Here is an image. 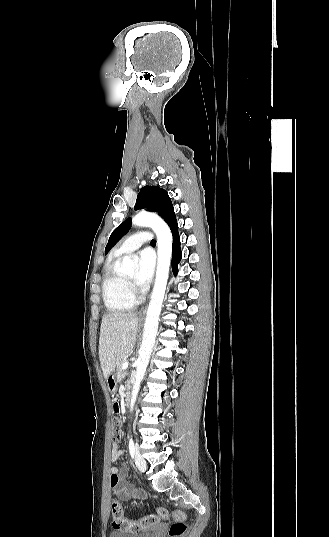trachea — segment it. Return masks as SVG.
Instances as JSON below:
<instances>
[{
  "instance_id": "trachea-1",
  "label": "trachea",
  "mask_w": 329,
  "mask_h": 537,
  "mask_svg": "<svg viewBox=\"0 0 329 537\" xmlns=\"http://www.w3.org/2000/svg\"><path fill=\"white\" fill-rule=\"evenodd\" d=\"M156 242L154 240L151 241V245H155Z\"/></svg>"
}]
</instances>
